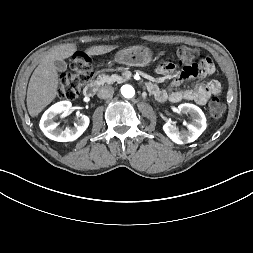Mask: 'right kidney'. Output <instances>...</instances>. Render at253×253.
Listing matches in <instances>:
<instances>
[{
	"mask_svg": "<svg viewBox=\"0 0 253 253\" xmlns=\"http://www.w3.org/2000/svg\"><path fill=\"white\" fill-rule=\"evenodd\" d=\"M70 109L71 102L60 101L45 111L40 120V129L49 139L58 142L74 141L87 129L89 117L86 115H80L76 119L73 127L64 130L58 127V124L54 122V118L60 113L67 114Z\"/></svg>",
	"mask_w": 253,
	"mask_h": 253,
	"instance_id": "1",
	"label": "right kidney"
}]
</instances>
